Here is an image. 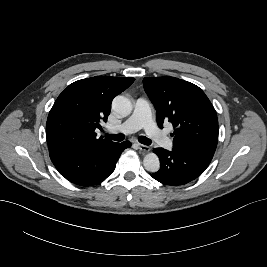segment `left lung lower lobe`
Instances as JSON below:
<instances>
[{
	"label": "left lung lower lobe",
	"instance_id": "1",
	"mask_svg": "<svg viewBox=\"0 0 267 267\" xmlns=\"http://www.w3.org/2000/svg\"><path fill=\"white\" fill-rule=\"evenodd\" d=\"M161 168L151 176L157 181L178 186L189 183L199 177L210 164L212 157L201 152L173 148L172 151L156 148Z\"/></svg>",
	"mask_w": 267,
	"mask_h": 267
}]
</instances>
